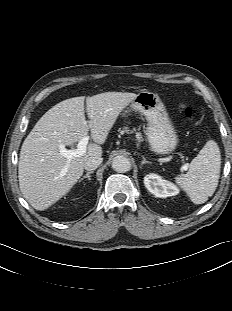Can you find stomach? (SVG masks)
Returning a JSON list of instances; mask_svg holds the SVG:
<instances>
[{"instance_id":"1","label":"stomach","mask_w":232,"mask_h":311,"mask_svg":"<svg viewBox=\"0 0 232 311\" xmlns=\"http://www.w3.org/2000/svg\"><path fill=\"white\" fill-rule=\"evenodd\" d=\"M131 110L145 116L148 125L146 137L151 150L159 155L172 153L178 144V136L166 107L153 92L142 91L131 102Z\"/></svg>"}]
</instances>
